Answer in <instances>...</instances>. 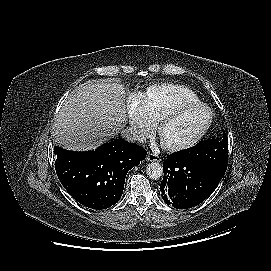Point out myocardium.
<instances>
[{
    "mask_svg": "<svg viewBox=\"0 0 271 271\" xmlns=\"http://www.w3.org/2000/svg\"><path fill=\"white\" fill-rule=\"evenodd\" d=\"M199 107H203L207 110L208 112V119L206 121V123L203 125V127L194 135L192 136L190 139L181 142V143H177V144H166L162 141V145L165 149L171 151V152H178V151H182L185 149H188L194 145H196L203 137L204 135L208 132L209 128L212 125L213 119H214V113L212 111V109L205 103L201 102V101H197V102H191V103H185L179 106H176L164 113H162L157 121H156V130L158 135L161 137V131L164 127V125L170 121L171 119L175 118L176 116H179L180 114L195 109V108H199Z\"/></svg>",
    "mask_w": 271,
    "mask_h": 271,
    "instance_id": "obj_1",
    "label": "myocardium"
}]
</instances>
